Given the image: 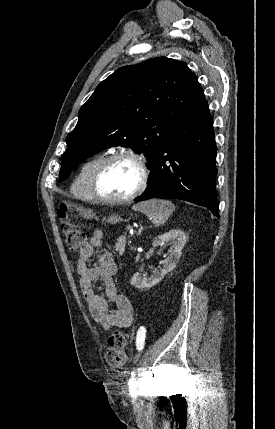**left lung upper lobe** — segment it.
I'll return each instance as SVG.
<instances>
[{"mask_svg": "<svg viewBox=\"0 0 275 429\" xmlns=\"http://www.w3.org/2000/svg\"><path fill=\"white\" fill-rule=\"evenodd\" d=\"M197 84L186 63L166 57L116 70L79 110L78 123L66 138L59 180L88 157L114 146L133 147L149 166Z\"/></svg>", "mask_w": 275, "mask_h": 429, "instance_id": "obj_1", "label": "left lung upper lobe"}]
</instances>
